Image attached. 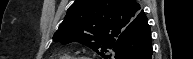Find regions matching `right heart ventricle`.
I'll list each match as a JSON object with an SVG mask.
<instances>
[{
    "instance_id": "right-heart-ventricle-1",
    "label": "right heart ventricle",
    "mask_w": 193,
    "mask_h": 59,
    "mask_svg": "<svg viewBox=\"0 0 193 59\" xmlns=\"http://www.w3.org/2000/svg\"><path fill=\"white\" fill-rule=\"evenodd\" d=\"M57 59H70V55L69 54H61Z\"/></svg>"
}]
</instances>
